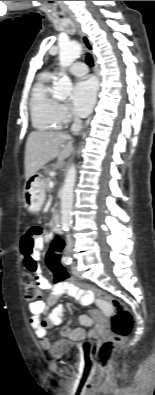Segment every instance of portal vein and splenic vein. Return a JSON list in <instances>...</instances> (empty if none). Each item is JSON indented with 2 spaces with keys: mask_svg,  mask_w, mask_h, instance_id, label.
Here are the masks:
<instances>
[{
  "mask_svg": "<svg viewBox=\"0 0 155 395\" xmlns=\"http://www.w3.org/2000/svg\"><path fill=\"white\" fill-rule=\"evenodd\" d=\"M53 186H54V183H53L52 181H50V182H49V187H50V188H53Z\"/></svg>",
  "mask_w": 155,
  "mask_h": 395,
  "instance_id": "portal-vein-and-splenic-vein-1",
  "label": "portal vein and splenic vein"
}]
</instances>
